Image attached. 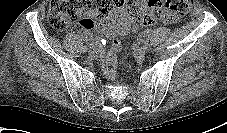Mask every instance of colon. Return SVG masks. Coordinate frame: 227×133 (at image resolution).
I'll list each match as a JSON object with an SVG mask.
<instances>
[{"label":"colon","instance_id":"5ec220e1","mask_svg":"<svg viewBox=\"0 0 227 133\" xmlns=\"http://www.w3.org/2000/svg\"><path fill=\"white\" fill-rule=\"evenodd\" d=\"M124 0H51L48 20L59 31L70 26L79 30H90L95 22L89 16L102 20L123 3ZM193 6V0H149L147 7L137 0H131L129 10L135 24L149 26L166 15L174 18L187 14ZM164 11L166 12L164 14ZM121 52L120 39L112 41L111 49L103 63L105 74L112 78L117 72V56Z\"/></svg>","mask_w":227,"mask_h":133}]
</instances>
